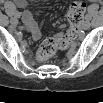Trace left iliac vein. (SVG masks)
Instances as JSON below:
<instances>
[{
    "label": "left iliac vein",
    "mask_w": 103,
    "mask_h": 103,
    "mask_svg": "<svg viewBox=\"0 0 103 103\" xmlns=\"http://www.w3.org/2000/svg\"><path fill=\"white\" fill-rule=\"evenodd\" d=\"M90 23L89 22H85L84 24H83V29H85V30H87V29H89L90 28Z\"/></svg>",
    "instance_id": "1"
}]
</instances>
